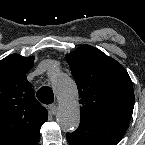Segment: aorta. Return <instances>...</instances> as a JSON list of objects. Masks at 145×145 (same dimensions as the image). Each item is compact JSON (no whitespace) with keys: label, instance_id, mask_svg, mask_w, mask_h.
Wrapping results in <instances>:
<instances>
[{"label":"aorta","instance_id":"obj_1","mask_svg":"<svg viewBox=\"0 0 145 145\" xmlns=\"http://www.w3.org/2000/svg\"><path fill=\"white\" fill-rule=\"evenodd\" d=\"M59 99L57 121L65 132L74 131L80 123V109L77 101V88L74 81L56 67L48 71Z\"/></svg>","mask_w":145,"mask_h":145}]
</instances>
